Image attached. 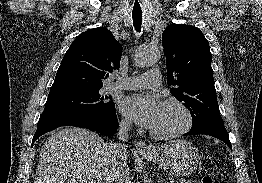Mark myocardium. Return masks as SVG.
<instances>
[{
    "label": "myocardium",
    "mask_w": 262,
    "mask_h": 183,
    "mask_svg": "<svg viewBox=\"0 0 262 183\" xmlns=\"http://www.w3.org/2000/svg\"><path fill=\"white\" fill-rule=\"evenodd\" d=\"M163 105H175L177 106L178 108H180L182 110V112L184 113V116H185V123L184 125L179 128L178 130L172 132V133H168V134H159L153 130H150V135L152 137H154L155 139H158V140H170V139H173V138H176V137H179L180 135L186 133L192 126V114H191V111L190 109L187 107V105L185 103H183L182 101L178 100V99H175V98H168V99H165L163 102H162Z\"/></svg>",
    "instance_id": "1"
}]
</instances>
